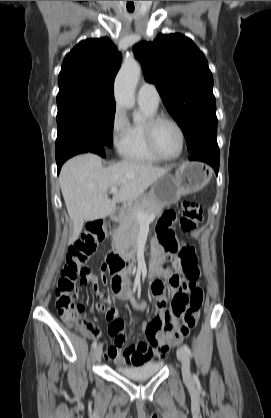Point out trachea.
<instances>
[{
  "label": "trachea",
  "instance_id": "trachea-1",
  "mask_svg": "<svg viewBox=\"0 0 271 418\" xmlns=\"http://www.w3.org/2000/svg\"><path fill=\"white\" fill-rule=\"evenodd\" d=\"M129 12H133V10H128Z\"/></svg>",
  "mask_w": 271,
  "mask_h": 418
}]
</instances>
